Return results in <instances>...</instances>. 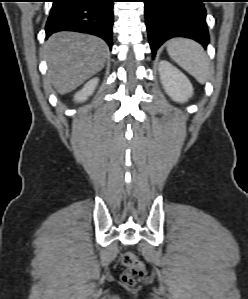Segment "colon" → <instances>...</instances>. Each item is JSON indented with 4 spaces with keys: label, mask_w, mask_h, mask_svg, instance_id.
Returning <instances> with one entry per match:
<instances>
[{
    "label": "colon",
    "mask_w": 248,
    "mask_h": 299,
    "mask_svg": "<svg viewBox=\"0 0 248 299\" xmlns=\"http://www.w3.org/2000/svg\"><path fill=\"white\" fill-rule=\"evenodd\" d=\"M121 263L125 267L122 274V281L130 286L138 284L145 276L143 264L132 252H125L121 256Z\"/></svg>",
    "instance_id": "colon-1"
}]
</instances>
